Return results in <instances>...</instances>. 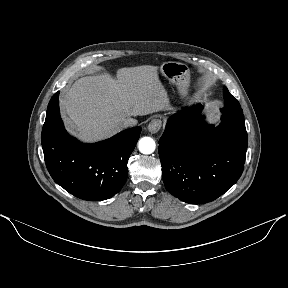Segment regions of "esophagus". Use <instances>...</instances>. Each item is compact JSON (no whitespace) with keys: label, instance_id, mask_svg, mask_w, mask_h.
<instances>
[{"label":"esophagus","instance_id":"obj_1","mask_svg":"<svg viewBox=\"0 0 288 288\" xmlns=\"http://www.w3.org/2000/svg\"><path fill=\"white\" fill-rule=\"evenodd\" d=\"M162 127V121L158 118L152 119L148 124V130L150 133H157Z\"/></svg>","mask_w":288,"mask_h":288}]
</instances>
